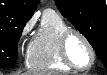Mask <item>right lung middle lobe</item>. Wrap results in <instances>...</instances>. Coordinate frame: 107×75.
Masks as SVG:
<instances>
[{"label": "right lung middle lobe", "instance_id": "dd1d6c3e", "mask_svg": "<svg viewBox=\"0 0 107 75\" xmlns=\"http://www.w3.org/2000/svg\"><path fill=\"white\" fill-rule=\"evenodd\" d=\"M25 24L16 23L0 29V66L16 64L17 43Z\"/></svg>", "mask_w": 107, "mask_h": 75}]
</instances>
